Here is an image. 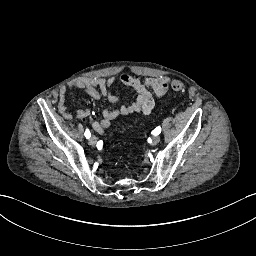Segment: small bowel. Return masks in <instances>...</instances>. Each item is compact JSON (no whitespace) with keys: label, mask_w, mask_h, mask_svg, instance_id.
<instances>
[{"label":"small bowel","mask_w":256,"mask_h":256,"mask_svg":"<svg viewBox=\"0 0 256 256\" xmlns=\"http://www.w3.org/2000/svg\"><path fill=\"white\" fill-rule=\"evenodd\" d=\"M117 79L110 77H81L73 80L69 86H62L57 94V108L60 114L65 118H70L72 112L66 106V97L68 89L73 87L85 91L93 98L103 96L111 103H118L119 97L112 92V87ZM119 81L130 87L136 93V99L127 105L105 109L102 113V119L92 123L93 129L98 134H103L111 123L119 117H125L133 113H140L145 116L150 115L154 109L155 98H161L168 89L169 78L167 77H150L145 80L124 73L119 76ZM75 115L80 118H86L90 115L87 108L79 109Z\"/></svg>","instance_id":"obj_1"}]
</instances>
